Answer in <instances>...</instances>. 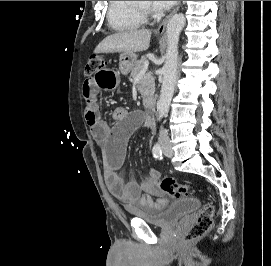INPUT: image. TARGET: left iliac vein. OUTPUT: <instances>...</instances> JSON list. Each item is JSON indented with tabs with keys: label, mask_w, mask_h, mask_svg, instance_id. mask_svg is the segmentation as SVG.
Instances as JSON below:
<instances>
[{
	"label": "left iliac vein",
	"mask_w": 271,
	"mask_h": 266,
	"mask_svg": "<svg viewBox=\"0 0 271 266\" xmlns=\"http://www.w3.org/2000/svg\"><path fill=\"white\" fill-rule=\"evenodd\" d=\"M163 153L167 157H172L174 152L169 143L163 145Z\"/></svg>",
	"instance_id": "obj_1"
}]
</instances>
